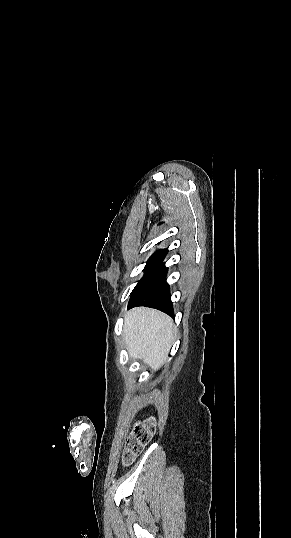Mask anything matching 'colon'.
Segmentation results:
<instances>
[{"label":"colon","mask_w":291,"mask_h":538,"mask_svg":"<svg viewBox=\"0 0 291 538\" xmlns=\"http://www.w3.org/2000/svg\"><path fill=\"white\" fill-rule=\"evenodd\" d=\"M156 426L154 418L138 422L127 443V447L123 452V463L129 464L134 458L140 454L142 449L149 443L152 438Z\"/></svg>","instance_id":"obj_1"}]
</instances>
